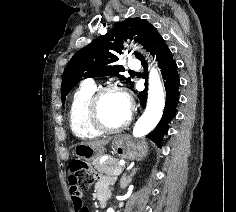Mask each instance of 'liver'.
I'll list each match as a JSON object with an SVG mask.
<instances>
[{
  "label": "liver",
  "instance_id": "6515ba94",
  "mask_svg": "<svg viewBox=\"0 0 236 212\" xmlns=\"http://www.w3.org/2000/svg\"><path fill=\"white\" fill-rule=\"evenodd\" d=\"M110 139H102V140H95V141H87V142H83L81 144H85L88 146H91L95 149L97 148H102L105 145H107L109 143Z\"/></svg>",
  "mask_w": 236,
  "mask_h": 212
}]
</instances>
